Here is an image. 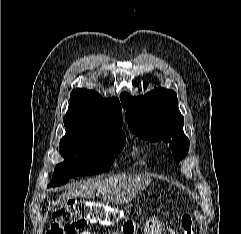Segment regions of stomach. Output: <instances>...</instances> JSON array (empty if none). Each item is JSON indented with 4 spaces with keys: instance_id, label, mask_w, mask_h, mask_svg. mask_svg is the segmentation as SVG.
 Wrapping results in <instances>:
<instances>
[{
    "instance_id": "0dacf381",
    "label": "stomach",
    "mask_w": 241,
    "mask_h": 234,
    "mask_svg": "<svg viewBox=\"0 0 241 234\" xmlns=\"http://www.w3.org/2000/svg\"><path fill=\"white\" fill-rule=\"evenodd\" d=\"M135 225L136 224L134 222H131L129 220L125 221V223H123V226H122V231L124 233H128L133 229L132 231L135 232L136 231ZM144 230H145V234H161L159 224L155 219H150L146 221L144 225Z\"/></svg>"
}]
</instances>
